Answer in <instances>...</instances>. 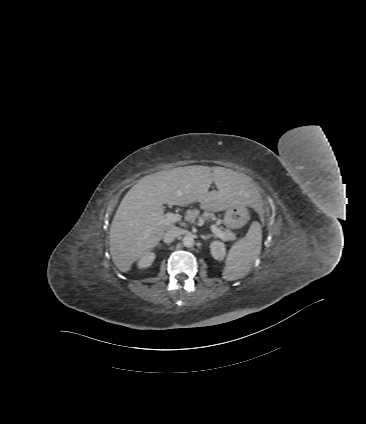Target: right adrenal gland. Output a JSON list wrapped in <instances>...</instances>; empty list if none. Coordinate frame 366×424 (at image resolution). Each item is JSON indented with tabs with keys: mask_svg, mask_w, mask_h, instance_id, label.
I'll list each match as a JSON object with an SVG mask.
<instances>
[{
	"mask_svg": "<svg viewBox=\"0 0 366 424\" xmlns=\"http://www.w3.org/2000/svg\"><path fill=\"white\" fill-rule=\"evenodd\" d=\"M158 247H162V245L159 243V244H158Z\"/></svg>",
	"mask_w": 366,
	"mask_h": 424,
	"instance_id": "2a0ac1e0",
	"label": "right adrenal gland"
}]
</instances>
